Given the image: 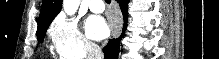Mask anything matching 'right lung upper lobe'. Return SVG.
<instances>
[{
  "label": "right lung upper lobe",
  "instance_id": "1",
  "mask_svg": "<svg viewBox=\"0 0 219 59\" xmlns=\"http://www.w3.org/2000/svg\"><path fill=\"white\" fill-rule=\"evenodd\" d=\"M62 8V0H43L40 16L38 18V29L49 26Z\"/></svg>",
  "mask_w": 219,
  "mask_h": 59
}]
</instances>
